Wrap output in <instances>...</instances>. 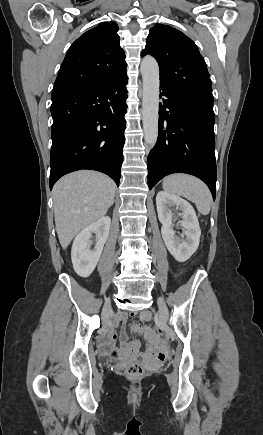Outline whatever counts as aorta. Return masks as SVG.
Listing matches in <instances>:
<instances>
[{
    "label": "aorta",
    "mask_w": 263,
    "mask_h": 435,
    "mask_svg": "<svg viewBox=\"0 0 263 435\" xmlns=\"http://www.w3.org/2000/svg\"><path fill=\"white\" fill-rule=\"evenodd\" d=\"M140 70L143 79L142 115L144 140L149 149L156 144L159 118V66L152 56L142 59Z\"/></svg>",
    "instance_id": "obj_1"
}]
</instances>
